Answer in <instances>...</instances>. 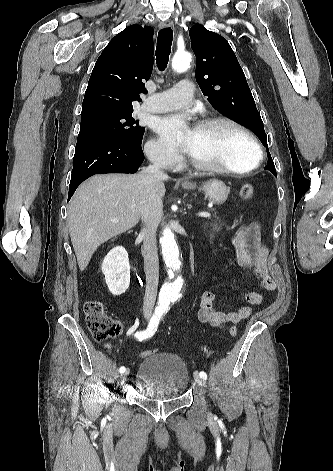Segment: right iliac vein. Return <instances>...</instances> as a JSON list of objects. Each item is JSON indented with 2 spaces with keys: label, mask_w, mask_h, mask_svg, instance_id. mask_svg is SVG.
<instances>
[{
  "label": "right iliac vein",
  "mask_w": 333,
  "mask_h": 471,
  "mask_svg": "<svg viewBox=\"0 0 333 471\" xmlns=\"http://www.w3.org/2000/svg\"><path fill=\"white\" fill-rule=\"evenodd\" d=\"M129 373H130V370H129V369H126L125 372L122 373V375H121V380H122L123 382L127 379Z\"/></svg>",
  "instance_id": "right-iliac-vein-1"
}]
</instances>
